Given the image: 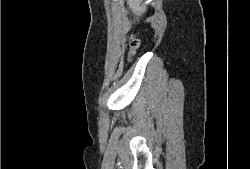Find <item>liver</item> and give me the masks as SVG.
Segmentation results:
<instances>
[{"mask_svg":"<svg viewBox=\"0 0 250 169\" xmlns=\"http://www.w3.org/2000/svg\"><path fill=\"white\" fill-rule=\"evenodd\" d=\"M143 0H127V4L133 12V14H136L137 18L138 16H141L143 12H146V4H142Z\"/></svg>","mask_w":250,"mask_h":169,"instance_id":"1","label":"liver"}]
</instances>
